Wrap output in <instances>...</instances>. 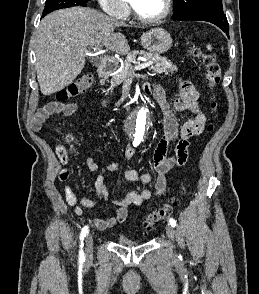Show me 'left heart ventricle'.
<instances>
[{
  "label": "left heart ventricle",
  "mask_w": 259,
  "mask_h": 294,
  "mask_svg": "<svg viewBox=\"0 0 259 294\" xmlns=\"http://www.w3.org/2000/svg\"><path fill=\"white\" fill-rule=\"evenodd\" d=\"M137 12L145 17H155L164 10V0H130Z\"/></svg>",
  "instance_id": "1"
}]
</instances>
